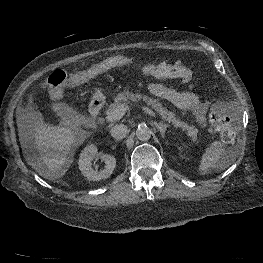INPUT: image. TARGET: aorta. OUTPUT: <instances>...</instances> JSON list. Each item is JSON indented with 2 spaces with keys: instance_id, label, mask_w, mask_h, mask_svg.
Segmentation results:
<instances>
[{
  "instance_id": "aorta-1",
  "label": "aorta",
  "mask_w": 263,
  "mask_h": 263,
  "mask_svg": "<svg viewBox=\"0 0 263 263\" xmlns=\"http://www.w3.org/2000/svg\"><path fill=\"white\" fill-rule=\"evenodd\" d=\"M152 131L146 125H140L136 129V137L140 141H147L151 138Z\"/></svg>"
}]
</instances>
